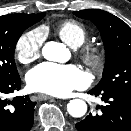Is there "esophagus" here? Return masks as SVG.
Wrapping results in <instances>:
<instances>
[{"mask_svg": "<svg viewBox=\"0 0 131 131\" xmlns=\"http://www.w3.org/2000/svg\"><path fill=\"white\" fill-rule=\"evenodd\" d=\"M36 98H37L38 100H49V99H53L52 96H49V95H46V94H38V95L36 96Z\"/></svg>", "mask_w": 131, "mask_h": 131, "instance_id": "1", "label": "esophagus"}]
</instances>
